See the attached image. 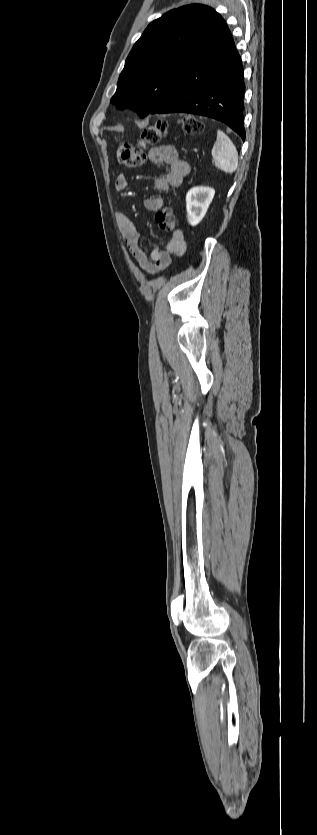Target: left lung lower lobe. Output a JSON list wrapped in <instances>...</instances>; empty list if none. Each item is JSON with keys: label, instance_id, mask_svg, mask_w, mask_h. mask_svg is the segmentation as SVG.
Returning <instances> with one entry per match:
<instances>
[{"label": "left lung lower lobe", "instance_id": "1", "mask_svg": "<svg viewBox=\"0 0 317 835\" xmlns=\"http://www.w3.org/2000/svg\"><path fill=\"white\" fill-rule=\"evenodd\" d=\"M241 58L222 19L199 55L185 69L174 97L154 113H191L227 124L244 141Z\"/></svg>", "mask_w": 317, "mask_h": 835}]
</instances>
